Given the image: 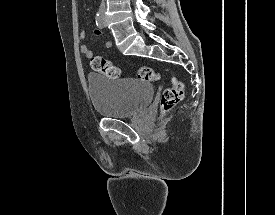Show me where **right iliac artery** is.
Masks as SVG:
<instances>
[{
  "mask_svg": "<svg viewBox=\"0 0 275 215\" xmlns=\"http://www.w3.org/2000/svg\"><path fill=\"white\" fill-rule=\"evenodd\" d=\"M96 25L99 27V28H103L104 27V20H103V17L97 13L96 14Z\"/></svg>",
  "mask_w": 275,
  "mask_h": 215,
  "instance_id": "82829eb1",
  "label": "right iliac artery"
}]
</instances>
